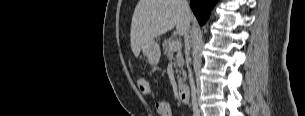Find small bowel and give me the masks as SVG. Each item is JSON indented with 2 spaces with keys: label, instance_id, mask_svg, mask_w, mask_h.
Wrapping results in <instances>:
<instances>
[{
  "label": "small bowel",
  "instance_id": "small-bowel-1",
  "mask_svg": "<svg viewBox=\"0 0 305 116\" xmlns=\"http://www.w3.org/2000/svg\"><path fill=\"white\" fill-rule=\"evenodd\" d=\"M155 107L159 116H172V111L170 109V106L165 100L164 95L162 93L157 98Z\"/></svg>",
  "mask_w": 305,
  "mask_h": 116
}]
</instances>
